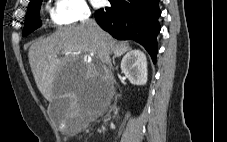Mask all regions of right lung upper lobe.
<instances>
[{"instance_id": "cb5924a9", "label": "right lung upper lobe", "mask_w": 227, "mask_h": 142, "mask_svg": "<svg viewBox=\"0 0 227 142\" xmlns=\"http://www.w3.org/2000/svg\"><path fill=\"white\" fill-rule=\"evenodd\" d=\"M33 1H35V0H30V2H33Z\"/></svg>"}]
</instances>
